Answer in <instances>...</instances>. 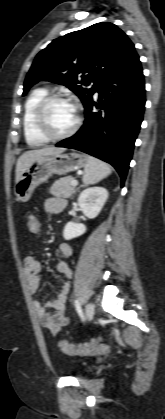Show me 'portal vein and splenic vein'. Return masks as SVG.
Wrapping results in <instances>:
<instances>
[{
  "mask_svg": "<svg viewBox=\"0 0 165 419\" xmlns=\"http://www.w3.org/2000/svg\"><path fill=\"white\" fill-rule=\"evenodd\" d=\"M71 185H72V186H77V185H78V181H77V180H73V181L71 182Z\"/></svg>",
  "mask_w": 165,
  "mask_h": 419,
  "instance_id": "obj_1",
  "label": "portal vein and splenic vein"
}]
</instances>
